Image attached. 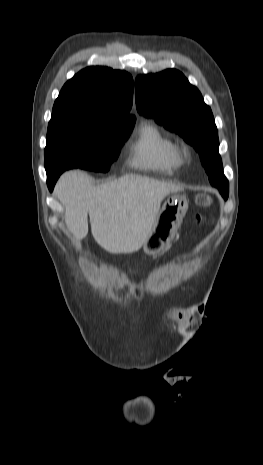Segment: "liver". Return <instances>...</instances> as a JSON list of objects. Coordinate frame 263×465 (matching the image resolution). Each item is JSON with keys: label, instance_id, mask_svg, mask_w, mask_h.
I'll return each instance as SVG.
<instances>
[{"label": "liver", "instance_id": "1", "mask_svg": "<svg viewBox=\"0 0 263 465\" xmlns=\"http://www.w3.org/2000/svg\"><path fill=\"white\" fill-rule=\"evenodd\" d=\"M182 186L141 175H125L93 186L80 171L63 174L55 189L65 207V222L77 240L88 234V214L95 241L111 254H130L145 242L161 202Z\"/></svg>", "mask_w": 263, "mask_h": 465}]
</instances>
